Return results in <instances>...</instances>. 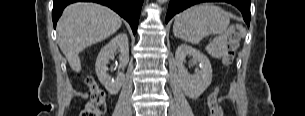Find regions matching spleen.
Listing matches in <instances>:
<instances>
[{"mask_svg":"<svg viewBox=\"0 0 305 116\" xmlns=\"http://www.w3.org/2000/svg\"><path fill=\"white\" fill-rule=\"evenodd\" d=\"M230 19L228 14L218 6L203 3L194 5L175 17L174 35L191 44H198L211 34H216L213 46L223 47V34L226 32Z\"/></svg>","mask_w":305,"mask_h":116,"instance_id":"spleen-1","label":"spleen"}]
</instances>
